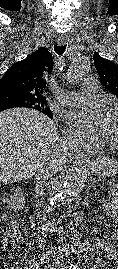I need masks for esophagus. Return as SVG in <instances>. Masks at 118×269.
I'll return each instance as SVG.
<instances>
[{"label":"esophagus","instance_id":"obj_1","mask_svg":"<svg viewBox=\"0 0 118 269\" xmlns=\"http://www.w3.org/2000/svg\"><path fill=\"white\" fill-rule=\"evenodd\" d=\"M68 42V39L66 37H59L57 40V43L59 45H64ZM74 163H80L84 160H86V156L81 153V152H77L74 157H73Z\"/></svg>","mask_w":118,"mask_h":269}]
</instances>
